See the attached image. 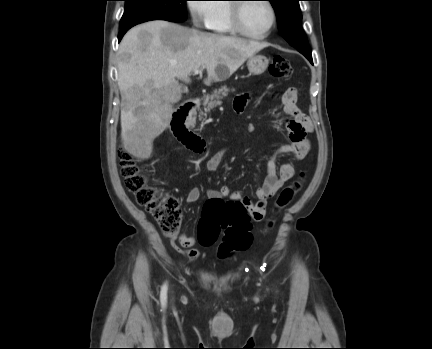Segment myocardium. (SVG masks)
Here are the masks:
<instances>
[{"label":"myocardium","mask_w":432,"mask_h":349,"mask_svg":"<svg viewBox=\"0 0 432 349\" xmlns=\"http://www.w3.org/2000/svg\"><path fill=\"white\" fill-rule=\"evenodd\" d=\"M236 1H244V2H236L230 5V21H231V25L233 30L250 39H255V40H261V39H265L267 38L272 31L274 30L276 24H277V12L275 9L274 4L270 1V0H262V2H264L268 8L270 9L271 12V24L269 26V28L262 34H253L250 33L249 31H247L242 23V9L243 7L248 3L245 2L246 0H236Z\"/></svg>","instance_id":"1"}]
</instances>
